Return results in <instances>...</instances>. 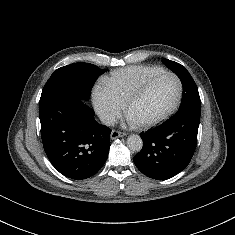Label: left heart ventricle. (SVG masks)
Wrapping results in <instances>:
<instances>
[{"instance_id": "1", "label": "left heart ventricle", "mask_w": 235, "mask_h": 235, "mask_svg": "<svg viewBox=\"0 0 235 235\" xmlns=\"http://www.w3.org/2000/svg\"><path fill=\"white\" fill-rule=\"evenodd\" d=\"M178 91L172 77H161L130 109L129 115L137 122H147L165 113L173 104Z\"/></svg>"}]
</instances>
